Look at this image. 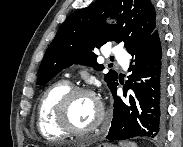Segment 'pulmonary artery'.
Listing matches in <instances>:
<instances>
[{
  "mask_svg": "<svg viewBox=\"0 0 183 147\" xmlns=\"http://www.w3.org/2000/svg\"><path fill=\"white\" fill-rule=\"evenodd\" d=\"M111 54L113 56H115L118 60H121V59H123V57L126 56V53L124 52V50L119 48V47L113 48L112 51H111ZM123 60H124L123 63H122L123 67L127 68L128 64L125 61V59H123Z\"/></svg>",
  "mask_w": 183,
  "mask_h": 147,
  "instance_id": "obj_1",
  "label": "pulmonary artery"
}]
</instances>
